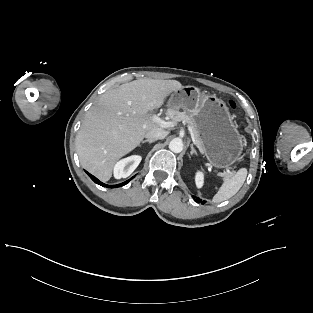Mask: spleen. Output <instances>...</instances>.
<instances>
[{
	"mask_svg": "<svg viewBox=\"0 0 313 313\" xmlns=\"http://www.w3.org/2000/svg\"><path fill=\"white\" fill-rule=\"evenodd\" d=\"M247 177V169L241 168L231 178H224L218 192L214 195L212 202L220 203L233 197L242 187Z\"/></svg>",
	"mask_w": 313,
	"mask_h": 313,
	"instance_id": "1",
	"label": "spleen"
}]
</instances>
